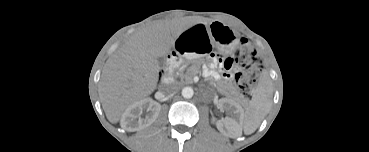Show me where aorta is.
I'll return each mask as SVG.
<instances>
[{"instance_id":"obj_1","label":"aorta","mask_w":369,"mask_h":152,"mask_svg":"<svg viewBox=\"0 0 369 152\" xmlns=\"http://www.w3.org/2000/svg\"><path fill=\"white\" fill-rule=\"evenodd\" d=\"M182 96L184 97V98H187V99H189V98H192L193 97V95H194V90L192 89V87H189V86H187V87H184L183 89H182Z\"/></svg>"}]
</instances>
